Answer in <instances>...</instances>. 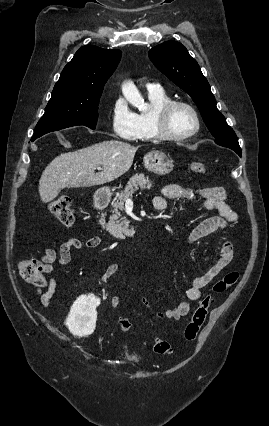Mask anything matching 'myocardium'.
Wrapping results in <instances>:
<instances>
[{"instance_id": "1", "label": "myocardium", "mask_w": 269, "mask_h": 426, "mask_svg": "<svg viewBox=\"0 0 269 426\" xmlns=\"http://www.w3.org/2000/svg\"><path fill=\"white\" fill-rule=\"evenodd\" d=\"M177 107L187 108L195 119V127L187 133L176 134L170 130V116L173 110ZM152 124L158 139L168 141H182L196 135L200 131L201 119L198 111L190 103L183 100H170L154 112L152 117Z\"/></svg>"}]
</instances>
